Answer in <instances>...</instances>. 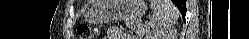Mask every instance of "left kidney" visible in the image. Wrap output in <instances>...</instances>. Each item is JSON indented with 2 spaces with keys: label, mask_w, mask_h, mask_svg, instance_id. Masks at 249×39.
Listing matches in <instances>:
<instances>
[{
  "label": "left kidney",
  "mask_w": 249,
  "mask_h": 39,
  "mask_svg": "<svg viewBox=\"0 0 249 39\" xmlns=\"http://www.w3.org/2000/svg\"><path fill=\"white\" fill-rule=\"evenodd\" d=\"M146 39H174V36L170 35L168 32L162 34H152L147 35Z\"/></svg>",
  "instance_id": "obj_1"
}]
</instances>
